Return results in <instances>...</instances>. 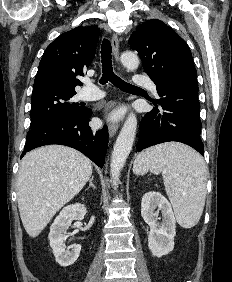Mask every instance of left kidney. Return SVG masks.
<instances>
[{"instance_id":"1","label":"left kidney","mask_w":232,"mask_h":282,"mask_svg":"<svg viewBox=\"0 0 232 282\" xmlns=\"http://www.w3.org/2000/svg\"><path fill=\"white\" fill-rule=\"evenodd\" d=\"M158 208L162 212V222H158ZM141 215L150 226L148 247L157 257L167 255L174 249L176 220L169 201L159 192L150 191L142 198Z\"/></svg>"}]
</instances>
